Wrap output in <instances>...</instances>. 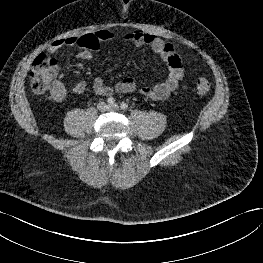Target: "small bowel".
Wrapping results in <instances>:
<instances>
[{
  "label": "small bowel",
  "instance_id": "c3829d8e",
  "mask_svg": "<svg viewBox=\"0 0 263 263\" xmlns=\"http://www.w3.org/2000/svg\"><path fill=\"white\" fill-rule=\"evenodd\" d=\"M121 38L125 42L138 47L148 46L166 63L168 72L165 79L153 86L143 87L139 91L142 95L155 101H162L168 98L169 95L177 89L180 81L184 77L182 61L175 46L153 34L141 30L123 32ZM113 39L114 34L103 29L91 34L58 39L50 44L48 50L50 53L56 54L63 47H79L81 51L79 52L78 57L82 60L90 61L92 60V51L98 49L101 43ZM86 88L87 83L85 81H79L73 86L72 93L80 95L85 92ZM136 88V82L132 78H124L117 82L114 87L107 85L101 77H96L93 81L94 92L100 96H110L114 91L123 94L132 93ZM66 94L67 90L61 83H56L51 90V96L56 101L63 100L66 97Z\"/></svg>",
  "mask_w": 263,
  "mask_h": 263
}]
</instances>
